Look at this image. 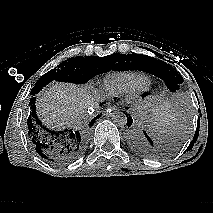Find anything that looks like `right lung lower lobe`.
<instances>
[{
    "instance_id": "right-lung-lower-lobe-1",
    "label": "right lung lower lobe",
    "mask_w": 213,
    "mask_h": 213,
    "mask_svg": "<svg viewBox=\"0 0 213 213\" xmlns=\"http://www.w3.org/2000/svg\"><path fill=\"white\" fill-rule=\"evenodd\" d=\"M31 96L30 110L27 115V130L36 152L42 158L56 164H65L78 158L84 151L87 131H73L72 129L55 131L47 128L37 116L35 93H32ZM99 117L100 115H97L89 123V127Z\"/></svg>"
}]
</instances>
